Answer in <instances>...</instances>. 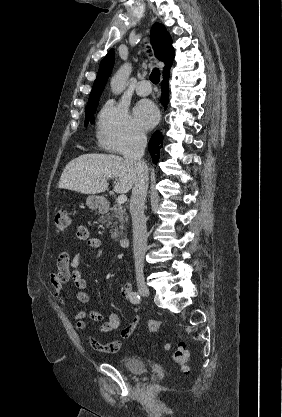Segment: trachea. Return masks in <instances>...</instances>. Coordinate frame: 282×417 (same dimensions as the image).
Segmentation results:
<instances>
[{"label":"trachea","instance_id":"trachea-1","mask_svg":"<svg viewBox=\"0 0 282 417\" xmlns=\"http://www.w3.org/2000/svg\"><path fill=\"white\" fill-rule=\"evenodd\" d=\"M149 52H150V50H149ZM149 78H150L152 83L158 84L159 81H160V71H159V69L158 68L153 69Z\"/></svg>","mask_w":282,"mask_h":417}]
</instances>
